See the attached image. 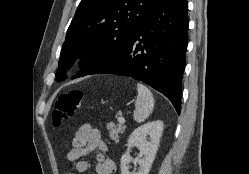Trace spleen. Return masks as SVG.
Returning a JSON list of instances; mask_svg holds the SVG:
<instances>
[{
  "label": "spleen",
  "mask_w": 249,
  "mask_h": 174,
  "mask_svg": "<svg viewBox=\"0 0 249 174\" xmlns=\"http://www.w3.org/2000/svg\"><path fill=\"white\" fill-rule=\"evenodd\" d=\"M138 95L135 101L134 120L138 123L145 121L153 111L154 98L151 91L143 84H137Z\"/></svg>",
  "instance_id": "obj_1"
}]
</instances>
